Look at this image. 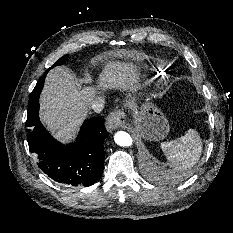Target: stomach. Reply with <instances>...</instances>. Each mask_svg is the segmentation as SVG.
<instances>
[{
    "instance_id": "1",
    "label": "stomach",
    "mask_w": 233,
    "mask_h": 233,
    "mask_svg": "<svg viewBox=\"0 0 233 233\" xmlns=\"http://www.w3.org/2000/svg\"><path fill=\"white\" fill-rule=\"evenodd\" d=\"M137 134L143 139L159 141L169 132V123L164 114L149 101H145L135 111Z\"/></svg>"
}]
</instances>
